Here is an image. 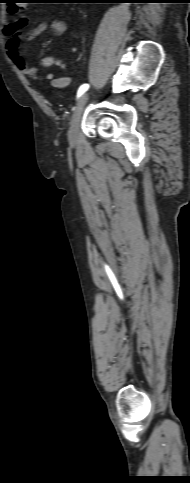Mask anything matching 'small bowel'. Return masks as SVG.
I'll return each mask as SVG.
<instances>
[{
    "label": "small bowel",
    "instance_id": "obj_1",
    "mask_svg": "<svg viewBox=\"0 0 190 483\" xmlns=\"http://www.w3.org/2000/svg\"><path fill=\"white\" fill-rule=\"evenodd\" d=\"M29 24V19L27 17L21 16L12 22L7 23L4 26L3 33L6 36L5 50L8 58L12 63L21 70L24 74L30 78L43 82L50 80L52 86L57 89L66 87L70 81V76L54 77L52 73H47L45 75H40L36 67L28 66L25 59L19 51L20 38L18 33L25 29ZM66 29V24L60 20H52L50 22H43L32 28L26 33L28 39H34L44 33L47 30H51L55 35H61ZM39 64L43 67L57 66L65 69V64L57 58L54 57H42L39 60Z\"/></svg>",
    "mask_w": 190,
    "mask_h": 483
}]
</instances>
